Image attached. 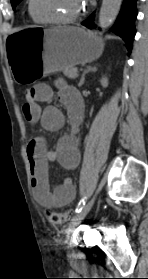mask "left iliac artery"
<instances>
[{
    "label": "left iliac artery",
    "instance_id": "1",
    "mask_svg": "<svg viewBox=\"0 0 148 279\" xmlns=\"http://www.w3.org/2000/svg\"><path fill=\"white\" fill-rule=\"evenodd\" d=\"M85 203H86V196H84V197L79 201L78 206H77V208H76V210H75V213H79V212L82 210V208L84 207Z\"/></svg>",
    "mask_w": 148,
    "mask_h": 279
}]
</instances>
